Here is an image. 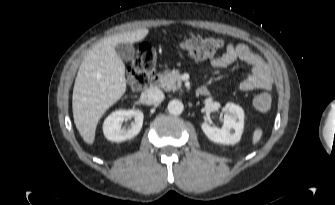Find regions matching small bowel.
Returning <instances> with one entry per match:
<instances>
[{
    "label": "small bowel",
    "instance_id": "1",
    "mask_svg": "<svg viewBox=\"0 0 335 205\" xmlns=\"http://www.w3.org/2000/svg\"><path fill=\"white\" fill-rule=\"evenodd\" d=\"M237 60L251 66V73L239 84L240 90L251 91L271 87V79L264 61L245 44L228 45L225 53L213 59L211 64L216 68H226Z\"/></svg>",
    "mask_w": 335,
    "mask_h": 205
}]
</instances>
